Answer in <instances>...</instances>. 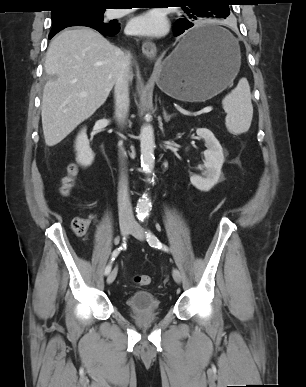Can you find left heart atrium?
Instances as JSON below:
<instances>
[{
    "label": "left heart atrium",
    "mask_w": 306,
    "mask_h": 387,
    "mask_svg": "<svg viewBox=\"0 0 306 387\" xmlns=\"http://www.w3.org/2000/svg\"><path fill=\"white\" fill-rule=\"evenodd\" d=\"M128 30L135 35L159 36L167 31V22L160 13L150 11L131 19Z\"/></svg>",
    "instance_id": "left-heart-atrium-1"
}]
</instances>
